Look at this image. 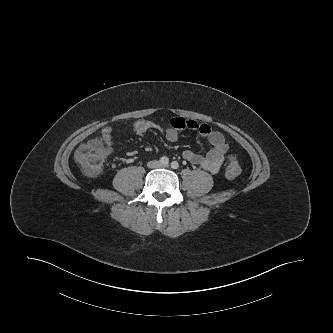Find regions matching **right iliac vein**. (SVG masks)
I'll return each mask as SVG.
<instances>
[{
    "instance_id": "right-iliac-vein-1",
    "label": "right iliac vein",
    "mask_w": 333,
    "mask_h": 333,
    "mask_svg": "<svg viewBox=\"0 0 333 333\" xmlns=\"http://www.w3.org/2000/svg\"><path fill=\"white\" fill-rule=\"evenodd\" d=\"M159 166H160L159 163H157V162H154V163H153V167H154V168H157V167H159Z\"/></svg>"
}]
</instances>
